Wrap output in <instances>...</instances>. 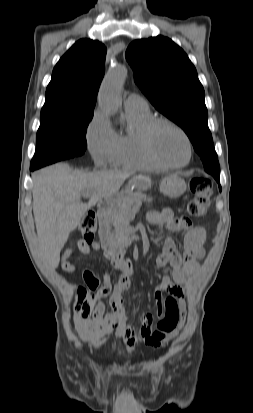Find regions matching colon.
<instances>
[{"label":"colon","mask_w":253,"mask_h":413,"mask_svg":"<svg viewBox=\"0 0 253 413\" xmlns=\"http://www.w3.org/2000/svg\"><path fill=\"white\" fill-rule=\"evenodd\" d=\"M189 189L193 198L189 201L186 212L192 217H202L209 206L212 193L211 182L204 177L192 178L189 182ZM188 219L186 217H183ZM97 229V219L93 212L85 215L79 225V232L83 242L90 244ZM77 301L75 304V314L81 317H88L94 310L99 299L98 287L88 285V288L79 287L77 289ZM181 318V313L177 300L169 295L163 299V309L157 323L153 336L156 341L164 342L177 328Z\"/></svg>","instance_id":"obj_1"}]
</instances>
